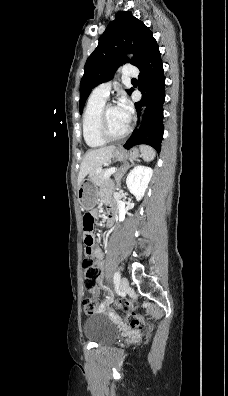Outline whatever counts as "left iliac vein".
Wrapping results in <instances>:
<instances>
[{"mask_svg": "<svg viewBox=\"0 0 228 396\" xmlns=\"http://www.w3.org/2000/svg\"><path fill=\"white\" fill-rule=\"evenodd\" d=\"M128 285H129L128 279L126 277H122L119 282L120 290L122 291L125 290L128 287Z\"/></svg>", "mask_w": 228, "mask_h": 396, "instance_id": "obj_1", "label": "left iliac vein"}]
</instances>
